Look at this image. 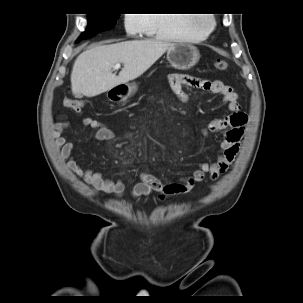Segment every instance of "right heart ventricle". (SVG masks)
Listing matches in <instances>:
<instances>
[{
    "label": "right heart ventricle",
    "mask_w": 303,
    "mask_h": 303,
    "mask_svg": "<svg viewBox=\"0 0 303 303\" xmlns=\"http://www.w3.org/2000/svg\"><path fill=\"white\" fill-rule=\"evenodd\" d=\"M145 32L168 40L194 39L193 17L189 14H147Z\"/></svg>",
    "instance_id": "1"
}]
</instances>
